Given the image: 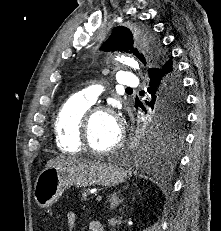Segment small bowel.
I'll use <instances>...</instances> for the list:
<instances>
[{
    "mask_svg": "<svg viewBox=\"0 0 221 231\" xmlns=\"http://www.w3.org/2000/svg\"><path fill=\"white\" fill-rule=\"evenodd\" d=\"M67 219H68V227H69V230L71 231V230L74 228V226H75L76 214H75L73 211H70V212L68 213ZM93 222H94L96 225L100 226V227L103 229V226H102V224H101L99 221H93ZM93 222H92V223H93ZM92 223H91V225H92ZM91 225H90V227H91Z\"/></svg>",
    "mask_w": 221,
    "mask_h": 231,
    "instance_id": "c3829d8e",
    "label": "small bowel"
}]
</instances>
